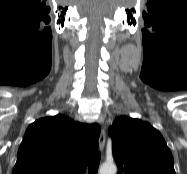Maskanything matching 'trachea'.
<instances>
[{
    "mask_svg": "<svg viewBox=\"0 0 187 174\" xmlns=\"http://www.w3.org/2000/svg\"><path fill=\"white\" fill-rule=\"evenodd\" d=\"M100 158H101L100 152H93L91 154L89 167H88V174H97Z\"/></svg>",
    "mask_w": 187,
    "mask_h": 174,
    "instance_id": "trachea-1",
    "label": "trachea"
}]
</instances>
